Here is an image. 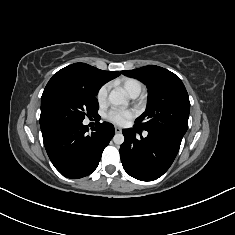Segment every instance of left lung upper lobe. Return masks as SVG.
<instances>
[{
	"mask_svg": "<svg viewBox=\"0 0 235 235\" xmlns=\"http://www.w3.org/2000/svg\"><path fill=\"white\" fill-rule=\"evenodd\" d=\"M121 73L142 81L148 88L147 108L136 119L135 128L172 129L185 134L188 128L190 101L186 88L178 76L155 65Z\"/></svg>",
	"mask_w": 235,
	"mask_h": 235,
	"instance_id": "1",
	"label": "left lung upper lobe"
}]
</instances>
